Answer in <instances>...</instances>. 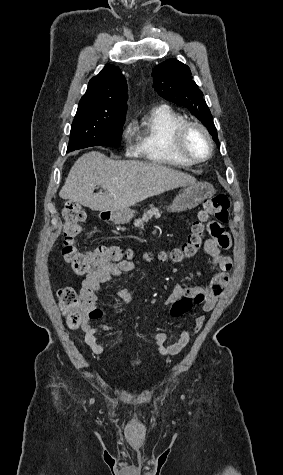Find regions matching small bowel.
<instances>
[{"mask_svg": "<svg viewBox=\"0 0 283 475\" xmlns=\"http://www.w3.org/2000/svg\"><path fill=\"white\" fill-rule=\"evenodd\" d=\"M204 229L208 235V239L204 243V251L209 256L211 265L217 268L219 272L205 285H175L165 302L172 305V300L176 298L177 293H195L196 304L201 306L203 312L208 313L213 310L227 287L233 267L231 258L225 255L221 248H232L234 242L228 238L231 235V230L223 219H214L212 223H206ZM133 269L134 264L128 260L106 262L95 271L89 273L82 284L81 298L84 316L81 328L84 332L85 343L95 355H102L104 353V349L99 344L97 336L102 332L109 333L114 330V327L111 324L104 323L103 319L99 321L101 324H98L97 318L101 316L102 312L97 308V292L103 284L111 282L113 277H120ZM118 297L125 306L130 304L131 295L127 288H121L118 291ZM171 315L173 317L181 316L175 315L173 310ZM204 324L205 316L203 314L196 315L193 331L183 327L178 340L170 345H165L168 337L167 333L157 327L154 342L158 347V354L160 356H175L179 354L188 345L191 337L201 331ZM142 364L143 360H132L130 362V366L133 368H137Z\"/></svg>", "mask_w": 283, "mask_h": 475, "instance_id": "small-bowel-1", "label": "small bowel"}]
</instances>
